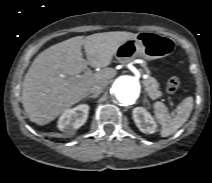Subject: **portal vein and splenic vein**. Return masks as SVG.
<instances>
[{"label":"portal vein and splenic vein","mask_w":212,"mask_h":183,"mask_svg":"<svg viewBox=\"0 0 212 183\" xmlns=\"http://www.w3.org/2000/svg\"><path fill=\"white\" fill-rule=\"evenodd\" d=\"M89 74H91V72H85V75H86V76L89 75Z\"/></svg>","instance_id":"obj_1"}]
</instances>
